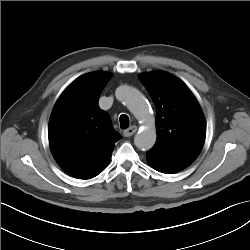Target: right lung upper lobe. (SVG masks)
Instances as JSON below:
<instances>
[{
  "instance_id": "right-lung-upper-lobe-1",
  "label": "right lung upper lobe",
  "mask_w": 250,
  "mask_h": 250,
  "mask_svg": "<svg viewBox=\"0 0 250 250\" xmlns=\"http://www.w3.org/2000/svg\"><path fill=\"white\" fill-rule=\"evenodd\" d=\"M111 78L106 72L85 74L73 81L56 102L49 121L52 154L68 174L87 179L109 163L115 142L122 138L110 116L98 106Z\"/></svg>"
}]
</instances>
